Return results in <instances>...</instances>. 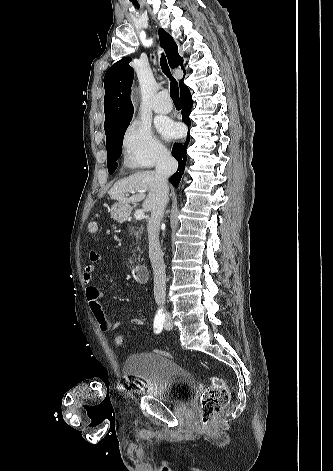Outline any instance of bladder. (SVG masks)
<instances>
[{
    "mask_svg": "<svg viewBox=\"0 0 333 471\" xmlns=\"http://www.w3.org/2000/svg\"><path fill=\"white\" fill-rule=\"evenodd\" d=\"M123 373L144 382L146 394L168 405H178L196 390L193 375L173 360L154 352L129 355Z\"/></svg>",
    "mask_w": 333,
    "mask_h": 471,
    "instance_id": "obj_1",
    "label": "bladder"
}]
</instances>
